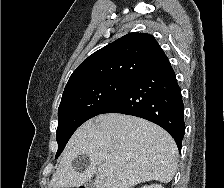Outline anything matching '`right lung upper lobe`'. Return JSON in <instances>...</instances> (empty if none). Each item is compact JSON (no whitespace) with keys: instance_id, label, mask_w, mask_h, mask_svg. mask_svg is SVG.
<instances>
[{"instance_id":"1","label":"right lung upper lobe","mask_w":224,"mask_h":188,"mask_svg":"<svg viewBox=\"0 0 224 188\" xmlns=\"http://www.w3.org/2000/svg\"><path fill=\"white\" fill-rule=\"evenodd\" d=\"M166 59L154 36L129 33L84 60L72 73L65 88L107 78L134 79Z\"/></svg>"}]
</instances>
